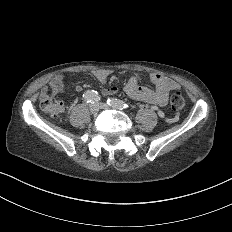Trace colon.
<instances>
[{
  "instance_id": "5ec220e1",
  "label": "colon",
  "mask_w": 232,
  "mask_h": 232,
  "mask_svg": "<svg viewBox=\"0 0 232 232\" xmlns=\"http://www.w3.org/2000/svg\"><path fill=\"white\" fill-rule=\"evenodd\" d=\"M171 95V102L176 103V108H171V113H182L185 99L184 90H171ZM52 104H54V98H41L39 101V106H42L45 113H60L59 105ZM49 119H60V114H49Z\"/></svg>"
}]
</instances>
